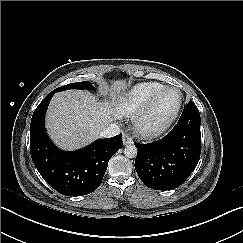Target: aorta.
Returning a JSON list of instances; mask_svg holds the SVG:
<instances>
[{
  "label": "aorta",
  "mask_w": 243,
  "mask_h": 243,
  "mask_svg": "<svg viewBox=\"0 0 243 243\" xmlns=\"http://www.w3.org/2000/svg\"><path fill=\"white\" fill-rule=\"evenodd\" d=\"M124 155L127 158H135L136 155H137V148H136V146L135 145H127L124 148Z\"/></svg>",
  "instance_id": "obj_1"
}]
</instances>
